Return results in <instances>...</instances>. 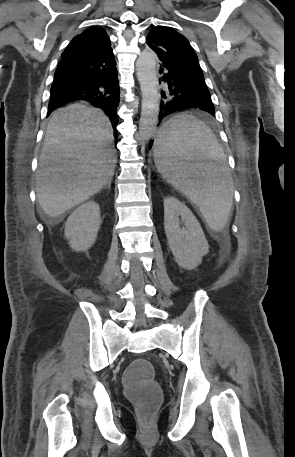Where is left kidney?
I'll return each instance as SVG.
<instances>
[{"label":"left kidney","instance_id":"left-kidney-1","mask_svg":"<svg viewBox=\"0 0 295 457\" xmlns=\"http://www.w3.org/2000/svg\"><path fill=\"white\" fill-rule=\"evenodd\" d=\"M179 215L184 222L180 227ZM164 228L170 250L179 266L192 270L209 252L200 223L191 210L174 197L164 199Z\"/></svg>","mask_w":295,"mask_h":457}]
</instances>
